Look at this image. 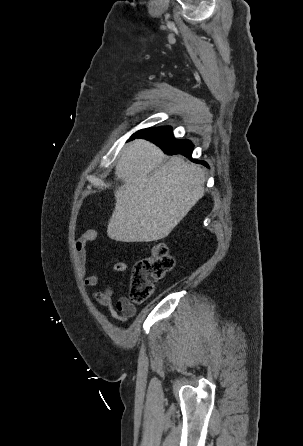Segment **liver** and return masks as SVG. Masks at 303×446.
<instances>
[{
    "label": "liver",
    "mask_w": 303,
    "mask_h": 446,
    "mask_svg": "<svg viewBox=\"0 0 303 446\" xmlns=\"http://www.w3.org/2000/svg\"><path fill=\"white\" fill-rule=\"evenodd\" d=\"M154 144L135 140L121 153L115 174V209L107 235L121 242H151L167 237L204 195L203 170L181 156L162 164ZM159 167L151 176L149 174Z\"/></svg>",
    "instance_id": "liver-1"
}]
</instances>
